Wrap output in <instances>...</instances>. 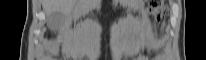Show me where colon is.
Segmentation results:
<instances>
[{"label": "colon", "instance_id": "obj_1", "mask_svg": "<svg viewBox=\"0 0 206 60\" xmlns=\"http://www.w3.org/2000/svg\"><path fill=\"white\" fill-rule=\"evenodd\" d=\"M150 11L158 22H161L163 20L165 14V8L161 1L152 2L150 6Z\"/></svg>", "mask_w": 206, "mask_h": 60}]
</instances>
